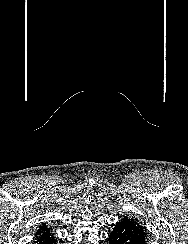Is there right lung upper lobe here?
Segmentation results:
<instances>
[{
    "instance_id": "cb5924a9",
    "label": "right lung upper lobe",
    "mask_w": 188,
    "mask_h": 244,
    "mask_svg": "<svg viewBox=\"0 0 188 244\" xmlns=\"http://www.w3.org/2000/svg\"><path fill=\"white\" fill-rule=\"evenodd\" d=\"M44 226H45V225L41 226V227L39 228V230H41L42 228H44Z\"/></svg>"
}]
</instances>
